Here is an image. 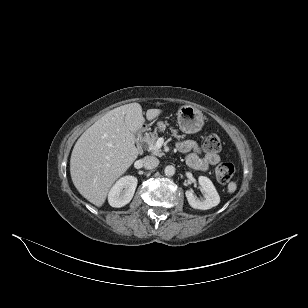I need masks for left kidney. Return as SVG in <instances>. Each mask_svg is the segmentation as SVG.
Segmentation results:
<instances>
[{
    "instance_id": "5707ae66",
    "label": "left kidney",
    "mask_w": 308,
    "mask_h": 308,
    "mask_svg": "<svg viewBox=\"0 0 308 308\" xmlns=\"http://www.w3.org/2000/svg\"><path fill=\"white\" fill-rule=\"evenodd\" d=\"M199 183L205 192V199L199 200L196 198L192 190H187L185 195L189 205L194 209L200 210H207L217 206L220 203V197L212 181L205 176H200Z\"/></svg>"
}]
</instances>
